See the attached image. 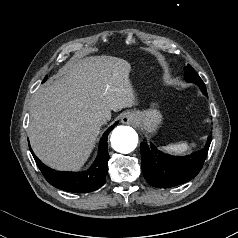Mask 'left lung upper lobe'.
<instances>
[{
  "instance_id": "5c2ea615",
  "label": "left lung upper lobe",
  "mask_w": 238,
  "mask_h": 238,
  "mask_svg": "<svg viewBox=\"0 0 238 238\" xmlns=\"http://www.w3.org/2000/svg\"><path fill=\"white\" fill-rule=\"evenodd\" d=\"M184 71H185V75H184L185 80L187 82H192V83L197 84L201 88L203 93L207 94V90H206V86H205L204 82L199 77V75L194 71V69L190 65H187L184 68Z\"/></svg>"
}]
</instances>
